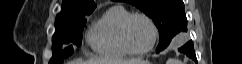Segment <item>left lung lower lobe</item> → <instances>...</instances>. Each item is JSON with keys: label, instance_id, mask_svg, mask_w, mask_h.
Returning <instances> with one entry per match:
<instances>
[{"label": "left lung lower lobe", "instance_id": "0a47b994", "mask_svg": "<svg viewBox=\"0 0 242 64\" xmlns=\"http://www.w3.org/2000/svg\"><path fill=\"white\" fill-rule=\"evenodd\" d=\"M180 52L185 53L188 57L193 59L197 63V58L195 55L194 47H193V42L189 41L186 43L184 46L178 49ZM162 50H156V53H160Z\"/></svg>", "mask_w": 242, "mask_h": 64}]
</instances>
